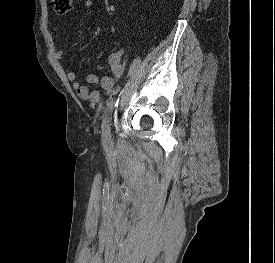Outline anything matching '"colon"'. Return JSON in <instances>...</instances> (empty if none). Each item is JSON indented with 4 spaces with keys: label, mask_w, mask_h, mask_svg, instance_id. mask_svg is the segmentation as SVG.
Segmentation results:
<instances>
[{
    "label": "colon",
    "mask_w": 275,
    "mask_h": 263,
    "mask_svg": "<svg viewBox=\"0 0 275 263\" xmlns=\"http://www.w3.org/2000/svg\"><path fill=\"white\" fill-rule=\"evenodd\" d=\"M51 3L57 15H64L72 9L74 0H51Z\"/></svg>",
    "instance_id": "colon-1"
}]
</instances>
